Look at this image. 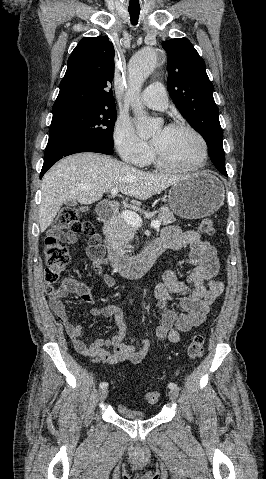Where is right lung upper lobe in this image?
<instances>
[{
	"instance_id": "obj_1",
	"label": "right lung upper lobe",
	"mask_w": 266,
	"mask_h": 479,
	"mask_svg": "<svg viewBox=\"0 0 266 479\" xmlns=\"http://www.w3.org/2000/svg\"><path fill=\"white\" fill-rule=\"evenodd\" d=\"M114 47L106 36L85 37L68 58L53 113L116 108L112 90Z\"/></svg>"
}]
</instances>
